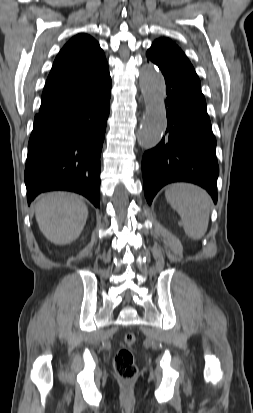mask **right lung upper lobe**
Listing matches in <instances>:
<instances>
[{"instance_id":"obj_1","label":"right lung upper lobe","mask_w":253,"mask_h":413,"mask_svg":"<svg viewBox=\"0 0 253 413\" xmlns=\"http://www.w3.org/2000/svg\"><path fill=\"white\" fill-rule=\"evenodd\" d=\"M108 76L107 61L98 42L87 34L74 36L54 61L35 118L94 94Z\"/></svg>"}]
</instances>
